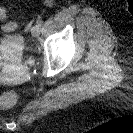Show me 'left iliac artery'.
Returning <instances> with one entry per match:
<instances>
[{
    "label": "left iliac artery",
    "instance_id": "left-iliac-artery-1",
    "mask_svg": "<svg viewBox=\"0 0 133 133\" xmlns=\"http://www.w3.org/2000/svg\"><path fill=\"white\" fill-rule=\"evenodd\" d=\"M42 23H43V21H42L41 19H38V20L36 21V25H38V26H41Z\"/></svg>",
    "mask_w": 133,
    "mask_h": 133
}]
</instances>
